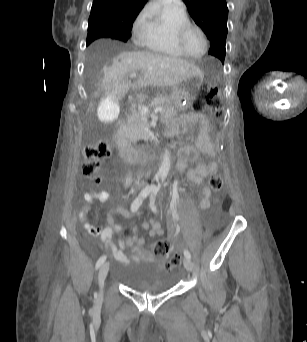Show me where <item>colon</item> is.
I'll return each mask as SVG.
<instances>
[{"mask_svg":"<svg viewBox=\"0 0 307 342\" xmlns=\"http://www.w3.org/2000/svg\"><path fill=\"white\" fill-rule=\"evenodd\" d=\"M201 93L205 94L203 100L199 102V108L213 116H218L220 113V97L222 92L220 87H208L206 82L201 84ZM110 149V142L100 140L96 143L86 144L83 148L84 162L81 166L82 176L90 179L96 184H100L102 177L100 174V161L107 158ZM209 187L216 194V200L219 202V196L223 191V177L219 174H212L208 179ZM172 249V245L168 239H161L153 245V252L159 257L168 256ZM182 256L174 254L172 259L163 263L162 269L164 272H169L177 264L181 262Z\"/></svg>","mask_w":307,"mask_h":342,"instance_id":"colon-1","label":"colon"}]
</instances>
